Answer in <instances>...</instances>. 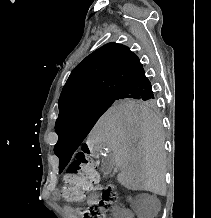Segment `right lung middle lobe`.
<instances>
[{
  "mask_svg": "<svg viewBox=\"0 0 211 218\" xmlns=\"http://www.w3.org/2000/svg\"><path fill=\"white\" fill-rule=\"evenodd\" d=\"M138 108L155 110V97H119L117 95L92 98L81 102L59 114L55 131L59 136L57 144L79 146L100 116L109 108Z\"/></svg>",
  "mask_w": 211,
  "mask_h": 218,
  "instance_id": "dd1d6c3e",
  "label": "right lung middle lobe"
}]
</instances>
